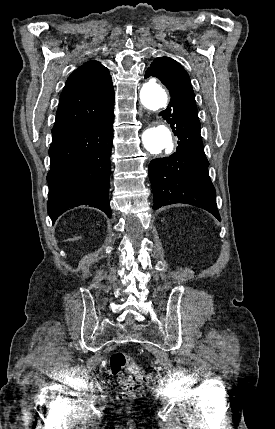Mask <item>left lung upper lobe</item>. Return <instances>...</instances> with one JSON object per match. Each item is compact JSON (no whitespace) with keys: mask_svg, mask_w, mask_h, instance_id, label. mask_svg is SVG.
I'll return each mask as SVG.
<instances>
[{"mask_svg":"<svg viewBox=\"0 0 275 429\" xmlns=\"http://www.w3.org/2000/svg\"><path fill=\"white\" fill-rule=\"evenodd\" d=\"M155 76L165 85L168 84H187L190 87L191 82L188 73L183 67L172 58L159 57L156 58L146 73ZM145 73V74H146Z\"/></svg>","mask_w":275,"mask_h":429,"instance_id":"1","label":"left lung upper lobe"}]
</instances>
